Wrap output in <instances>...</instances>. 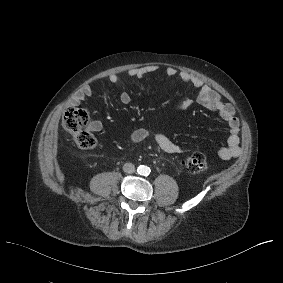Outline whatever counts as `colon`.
Here are the masks:
<instances>
[{"label": "colon", "instance_id": "obj_1", "mask_svg": "<svg viewBox=\"0 0 283 283\" xmlns=\"http://www.w3.org/2000/svg\"><path fill=\"white\" fill-rule=\"evenodd\" d=\"M62 123L79 148L92 149L95 146V139L87 130L89 124L87 112L73 105H68L63 113ZM182 165L191 173L203 172L209 168V162L202 153H193L186 156L182 160Z\"/></svg>", "mask_w": 283, "mask_h": 283}]
</instances>
